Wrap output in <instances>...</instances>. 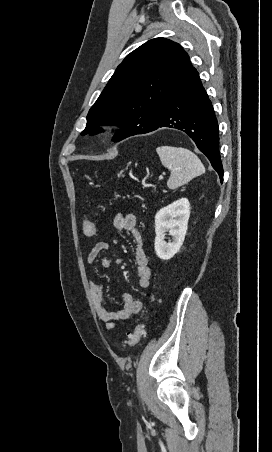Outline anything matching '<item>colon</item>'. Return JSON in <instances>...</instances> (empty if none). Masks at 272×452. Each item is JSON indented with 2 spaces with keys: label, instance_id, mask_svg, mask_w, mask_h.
<instances>
[{
  "label": "colon",
  "instance_id": "colon-1",
  "mask_svg": "<svg viewBox=\"0 0 272 452\" xmlns=\"http://www.w3.org/2000/svg\"><path fill=\"white\" fill-rule=\"evenodd\" d=\"M83 231L88 236H93L96 233V224L91 219H86L83 222ZM145 336V326L143 322L138 323L134 331L129 335L127 341H125V346L133 347L137 345L141 339Z\"/></svg>",
  "mask_w": 272,
  "mask_h": 452
}]
</instances>
